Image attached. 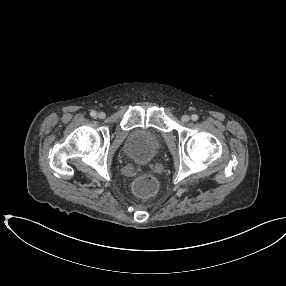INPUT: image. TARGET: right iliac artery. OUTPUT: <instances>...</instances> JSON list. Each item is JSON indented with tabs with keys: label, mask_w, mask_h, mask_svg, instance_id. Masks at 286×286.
Listing matches in <instances>:
<instances>
[{
	"label": "right iliac artery",
	"mask_w": 286,
	"mask_h": 286,
	"mask_svg": "<svg viewBox=\"0 0 286 286\" xmlns=\"http://www.w3.org/2000/svg\"><path fill=\"white\" fill-rule=\"evenodd\" d=\"M91 117H96L97 113L95 111L90 112Z\"/></svg>",
	"instance_id": "1"
}]
</instances>
